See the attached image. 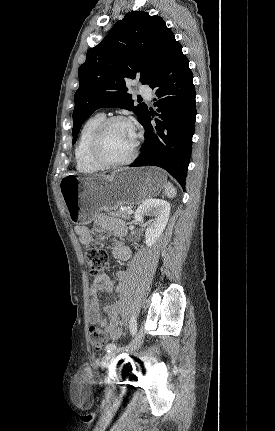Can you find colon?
I'll return each instance as SVG.
<instances>
[{
	"label": "colon",
	"mask_w": 275,
	"mask_h": 431,
	"mask_svg": "<svg viewBox=\"0 0 275 431\" xmlns=\"http://www.w3.org/2000/svg\"><path fill=\"white\" fill-rule=\"evenodd\" d=\"M89 271L94 276H99L105 269L108 262V253L102 248H89L85 253ZM89 339L91 345L100 350L107 343V335L103 328L98 324H92L89 328Z\"/></svg>",
	"instance_id": "colon-1"
}]
</instances>
